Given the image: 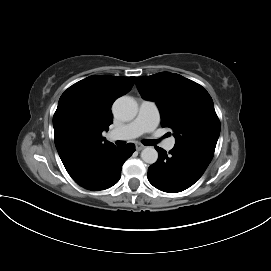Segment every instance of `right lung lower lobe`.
Wrapping results in <instances>:
<instances>
[{"label": "right lung lower lobe", "mask_w": 271, "mask_h": 271, "mask_svg": "<svg viewBox=\"0 0 271 271\" xmlns=\"http://www.w3.org/2000/svg\"><path fill=\"white\" fill-rule=\"evenodd\" d=\"M135 145L129 143L108 149L95 163L73 180L91 191L104 190L115 185L121 177L123 163L133 154Z\"/></svg>", "instance_id": "right-lung-lower-lobe-1"}]
</instances>
